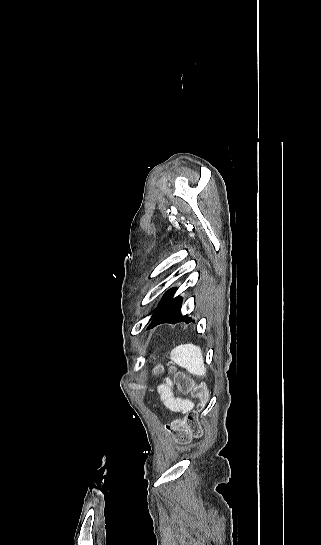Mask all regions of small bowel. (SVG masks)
<instances>
[{
  "instance_id": "obj_1",
  "label": "small bowel",
  "mask_w": 321,
  "mask_h": 545,
  "mask_svg": "<svg viewBox=\"0 0 321 545\" xmlns=\"http://www.w3.org/2000/svg\"><path fill=\"white\" fill-rule=\"evenodd\" d=\"M157 391L164 405L170 410L183 413L192 410V402L186 399L176 398L167 384L160 385Z\"/></svg>"
}]
</instances>
